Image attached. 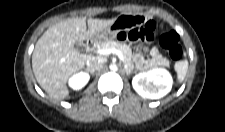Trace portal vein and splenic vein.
Returning <instances> with one entry per match:
<instances>
[{
    "mask_svg": "<svg viewBox=\"0 0 225 132\" xmlns=\"http://www.w3.org/2000/svg\"><path fill=\"white\" fill-rule=\"evenodd\" d=\"M97 53L100 54V55H103V56H106V55H109V54H116L119 57V59L124 62V57H123V54L120 50L112 49V48L98 49Z\"/></svg>",
    "mask_w": 225,
    "mask_h": 132,
    "instance_id": "18ae733b",
    "label": "portal vein and splenic vein"
}]
</instances>
